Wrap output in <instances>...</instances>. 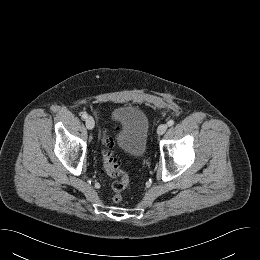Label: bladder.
Masks as SVG:
<instances>
[{"label":"bladder","instance_id":"obj_1","mask_svg":"<svg viewBox=\"0 0 260 260\" xmlns=\"http://www.w3.org/2000/svg\"><path fill=\"white\" fill-rule=\"evenodd\" d=\"M116 124V140L120 148L130 157L142 156L147 147L149 120L146 114L133 106H121L110 115Z\"/></svg>","mask_w":260,"mask_h":260}]
</instances>
